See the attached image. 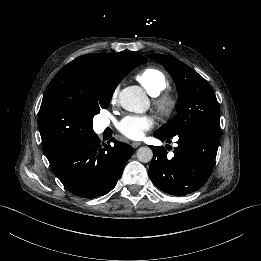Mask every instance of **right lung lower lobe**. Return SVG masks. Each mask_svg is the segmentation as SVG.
<instances>
[{"mask_svg":"<svg viewBox=\"0 0 261 261\" xmlns=\"http://www.w3.org/2000/svg\"><path fill=\"white\" fill-rule=\"evenodd\" d=\"M110 141L101 145L94 133L50 162L52 170L69 192L92 199L107 194L115 187L133 149L114 138Z\"/></svg>","mask_w":261,"mask_h":261,"instance_id":"98d812e1","label":"right lung lower lobe"}]
</instances>
